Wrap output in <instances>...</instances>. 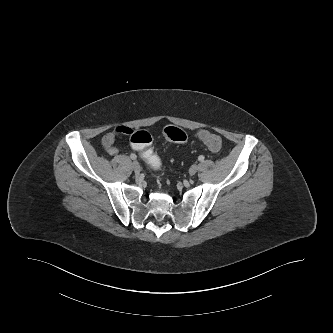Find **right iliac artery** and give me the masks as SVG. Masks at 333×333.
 Instances as JSON below:
<instances>
[{
	"mask_svg": "<svg viewBox=\"0 0 333 333\" xmlns=\"http://www.w3.org/2000/svg\"><path fill=\"white\" fill-rule=\"evenodd\" d=\"M130 158H131L132 160H135V159L137 158V156H136L135 154H131V155H130Z\"/></svg>",
	"mask_w": 333,
	"mask_h": 333,
	"instance_id": "1",
	"label": "right iliac artery"
}]
</instances>
